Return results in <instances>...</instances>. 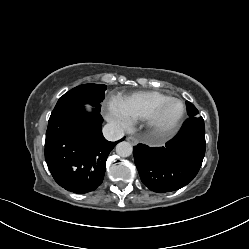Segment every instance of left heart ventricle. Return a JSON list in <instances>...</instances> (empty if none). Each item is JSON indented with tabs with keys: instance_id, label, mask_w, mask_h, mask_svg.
<instances>
[{
	"instance_id": "b2bd125f",
	"label": "left heart ventricle",
	"mask_w": 249,
	"mask_h": 249,
	"mask_svg": "<svg viewBox=\"0 0 249 249\" xmlns=\"http://www.w3.org/2000/svg\"><path fill=\"white\" fill-rule=\"evenodd\" d=\"M181 106L179 103H171L161 115L160 123L162 125L171 124L180 112Z\"/></svg>"
}]
</instances>
